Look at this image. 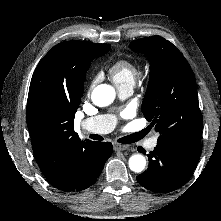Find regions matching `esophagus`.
Returning a JSON list of instances; mask_svg holds the SVG:
<instances>
[{
    "mask_svg": "<svg viewBox=\"0 0 221 221\" xmlns=\"http://www.w3.org/2000/svg\"><path fill=\"white\" fill-rule=\"evenodd\" d=\"M113 147H114V150L116 151H124L129 148V145L114 143Z\"/></svg>",
    "mask_w": 221,
    "mask_h": 221,
    "instance_id": "1",
    "label": "esophagus"
}]
</instances>
